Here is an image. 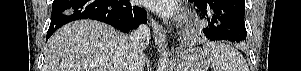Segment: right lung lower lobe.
Returning <instances> with one entry per match:
<instances>
[{
    "instance_id": "obj_1",
    "label": "right lung lower lobe",
    "mask_w": 301,
    "mask_h": 71,
    "mask_svg": "<svg viewBox=\"0 0 301 71\" xmlns=\"http://www.w3.org/2000/svg\"><path fill=\"white\" fill-rule=\"evenodd\" d=\"M78 19L102 21L128 32L146 23L147 15L129 0H54L47 39L64 24Z\"/></svg>"
}]
</instances>
